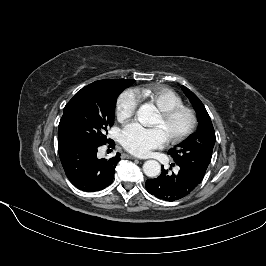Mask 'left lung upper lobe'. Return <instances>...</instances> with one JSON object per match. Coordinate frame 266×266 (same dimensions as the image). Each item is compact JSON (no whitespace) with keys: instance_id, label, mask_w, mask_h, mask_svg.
Returning a JSON list of instances; mask_svg holds the SVG:
<instances>
[{"instance_id":"5c2ea615","label":"left lung upper lobe","mask_w":266,"mask_h":266,"mask_svg":"<svg viewBox=\"0 0 266 266\" xmlns=\"http://www.w3.org/2000/svg\"><path fill=\"white\" fill-rule=\"evenodd\" d=\"M182 89L196 111L199 124L194 134L170 149L168 154L178 166L185 167L202 180L211 161L215 131L210 116L200 99L185 86H182Z\"/></svg>"}]
</instances>
